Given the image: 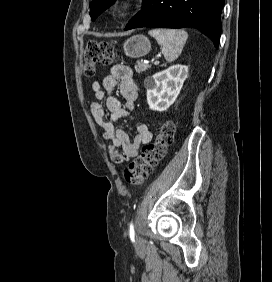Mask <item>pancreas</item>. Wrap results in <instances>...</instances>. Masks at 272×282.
Returning <instances> with one entry per match:
<instances>
[{
	"label": "pancreas",
	"mask_w": 272,
	"mask_h": 282,
	"mask_svg": "<svg viewBox=\"0 0 272 282\" xmlns=\"http://www.w3.org/2000/svg\"><path fill=\"white\" fill-rule=\"evenodd\" d=\"M151 67V65L149 64H145L142 61H137V65L135 66V70L137 73H142L144 71H146L147 69H149Z\"/></svg>",
	"instance_id": "1"
}]
</instances>
